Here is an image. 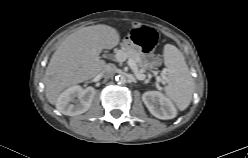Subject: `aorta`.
Instances as JSON below:
<instances>
[{
    "label": "aorta",
    "mask_w": 248,
    "mask_h": 158,
    "mask_svg": "<svg viewBox=\"0 0 248 158\" xmlns=\"http://www.w3.org/2000/svg\"><path fill=\"white\" fill-rule=\"evenodd\" d=\"M116 80L120 83V84H124L126 82V77L123 75H119L117 76Z\"/></svg>",
    "instance_id": "obj_1"
}]
</instances>
